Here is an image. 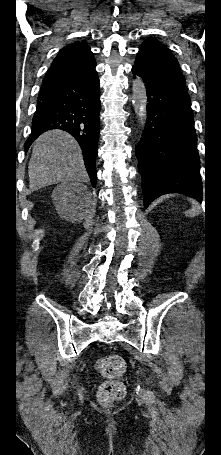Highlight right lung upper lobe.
Returning <instances> with one entry per match:
<instances>
[{"instance_id": "right-lung-upper-lobe-1", "label": "right lung upper lobe", "mask_w": 221, "mask_h": 455, "mask_svg": "<svg viewBox=\"0 0 221 455\" xmlns=\"http://www.w3.org/2000/svg\"><path fill=\"white\" fill-rule=\"evenodd\" d=\"M85 50H90L89 46L87 45V43H85L84 41L82 42H75L73 44H70L66 47H64L60 53L57 55V57L54 59L52 65L54 63H56L57 61L59 60H62L66 57H68L69 55L75 53V52H78V51H85Z\"/></svg>"}]
</instances>
